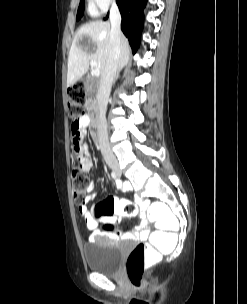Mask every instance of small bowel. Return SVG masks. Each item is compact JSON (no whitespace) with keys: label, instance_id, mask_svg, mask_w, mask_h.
I'll return each instance as SVG.
<instances>
[{"label":"small bowel","instance_id":"c3829d8e","mask_svg":"<svg viewBox=\"0 0 247 304\" xmlns=\"http://www.w3.org/2000/svg\"><path fill=\"white\" fill-rule=\"evenodd\" d=\"M89 116L87 115H82L78 122H72L71 125V144L69 146L70 151H72L71 153V158L73 165H79L80 168L85 172H89L90 169L93 166V161L91 159V157L89 156L86 147L84 146V144H80L82 141V138L84 137L85 133H86V129L89 126ZM117 186L119 188H121V184H117ZM94 190V183L90 182L88 187H87V192L88 194L85 196L84 202L82 205L79 206V211L82 215V217L84 218L86 225L88 227V229H90L92 231L89 240L90 241H95L100 237H108L111 239H118L119 238V233L114 231V232H102V231H98V225L100 222H104V223H114L116 221V216H110V217H103L101 219H97L94 217V215H92V213L90 212V210L88 209V204L90 202H92L95 197L96 194L93 193ZM147 205V201H141L140 202V206L142 208H144ZM150 233L149 227L147 225V222L144 218V214H143V218L140 222V224L138 225V227L132 231V232H128L125 233L123 235V238L125 239H134V238H138V239H146L148 237Z\"/></svg>","mask_w":247,"mask_h":304}]
</instances>
